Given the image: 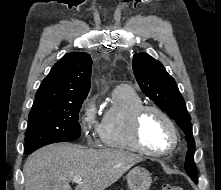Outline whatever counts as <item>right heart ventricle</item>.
I'll return each mask as SVG.
<instances>
[{
  "label": "right heart ventricle",
  "mask_w": 221,
  "mask_h": 190,
  "mask_svg": "<svg viewBox=\"0 0 221 190\" xmlns=\"http://www.w3.org/2000/svg\"><path fill=\"white\" fill-rule=\"evenodd\" d=\"M142 105L141 96L129 85H119L112 91V102L105 110L99 127L102 147L142 153L134 144L130 131L132 116Z\"/></svg>",
  "instance_id": "obj_1"
}]
</instances>
